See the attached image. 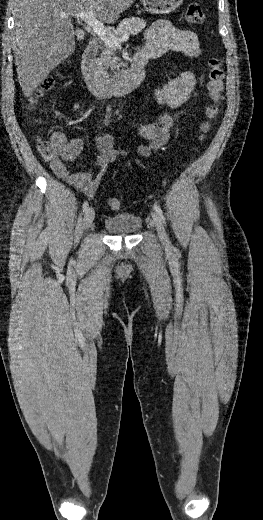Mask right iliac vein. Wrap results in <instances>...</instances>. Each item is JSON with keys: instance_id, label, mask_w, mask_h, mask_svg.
Segmentation results:
<instances>
[{"instance_id": "63e3f726", "label": "right iliac vein", "mask_w": 263, "mask_h": 520, "mask_svg": "<svg viewBox=\"0 0 263 520\" xmlns=\"http://www.w3.org/2000/svg\"><path fill=\"white\" fill-rule=\"evenodd\" d=\"M95 217V211L92 207L88 208L84 214V227L88 229L91 227Z\"/></svg>"}]
</instances>
